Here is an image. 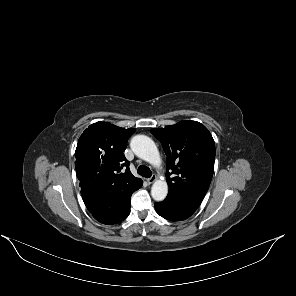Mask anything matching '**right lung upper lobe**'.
Instances as JSON below:
<instances>
[{"label":"right lung upper lobe","instance_id":"obj_1","mask_svg":"<svg viewBox=\"0 0 296 296\" xmlns=\"http://www.w3.org/2000/svg\"><path fill=\"white\" fill-rule=\"evenodd\" d=\"M134 132V128L124 129L108 122H97L82 133L75 151L76 175L81 190L122 192L143 183L132 175L123 153L128 138Z\"/></svg>","mask_w":296,"mask_h":296}]
</instances>
